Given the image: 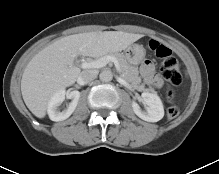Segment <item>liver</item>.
<instances>
[{
    "instance_id": "liver-1",
    "label": "liver",
    "mask_w": 219,
    "mask_h": 174,
    "mask_svg": "<svg viewBox=\"0 0 219 174\" xmlns=\"http://www.w3.org/2000/svg\"><path fill=\"white\" fill-rule=\"evenodd\" d=\"M140 34L122 31L88 32L60 38L38 52L27 64L21 79V93L28 109L44 118L50 98L73 85L80 68L78 56L100 57L125 50L140 39Z\"/></svg>"
}]
</instances>
